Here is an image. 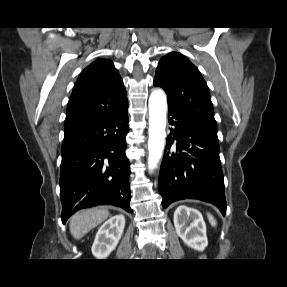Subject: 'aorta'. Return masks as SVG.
Masks as SVG:
<instances>
[{
    "label": "aorta",
    "instance_id": "1",
    "mask_svg": "<svg viewBox=\"0 0 287 287\" xmlns=\"http://www.w3.org/2000/svg\"><path fill=\"white\" fill-rule=\"evenodd\" d=\"M148 169L157 168L165 147L167 97L162 89H154L149 97Z\"/></svg>",
    "mask_w": 287,
    "mask_h": 287
}]
</instances>
